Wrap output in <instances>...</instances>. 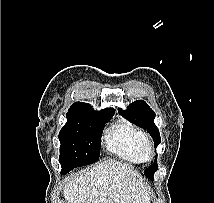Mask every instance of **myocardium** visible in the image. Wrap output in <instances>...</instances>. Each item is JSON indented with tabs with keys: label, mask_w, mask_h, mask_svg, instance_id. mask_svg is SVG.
I'll list each match as a JSON object with an SVG mask.
<instances>
[{
	"label": "myocardium",
	"mask_w": 214,
	"mask_h": 203,
	"mask_svg": "<svg viewBox=\"0 0 214 203\" xmlns=\"http://www.w3.org/2000/svg\"><path fill=\"white\" fill-rule=\"evenodd\" d=\"M142 153H143L144 159L146 161L151 160L153 158V156H154V152H153L152 146L149 143V141H147V140L145 141V143L143 145Z\"/></svg>",
	"instance_id": "obj_1"
}]
</instances>
